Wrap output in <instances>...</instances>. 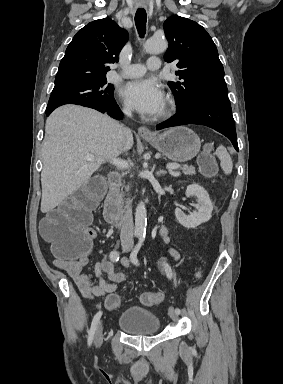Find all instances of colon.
Masks as SVG:
<instances>
[{
  "mask_svg": "<svg viewBox=\"0 0 283 384\" xmlns=\"http://www.w3.org/2000/svg\"><path fill=\"white\" fill-rule=\"evenodd\" d=\"M201 172L207 177L217 173L213 156L206 152L198 160ZM105 191L101 178H93L71 194L56 210L50 212L41 222L42 236L52 244L55 255L65 260H78L88 256L93 232L89 228L91 213L99 203ZM144 305L159 304L164 295L161 292H144L140 294ZM121 296L111 293L106 296L104 305L109 311L116 310L121 304Z\"/></svg>",
  "mask_w": 283,
  "mask_h": 384,
  "instance_id": "colon-1",
  "label": "colon"
}]
</instances>
